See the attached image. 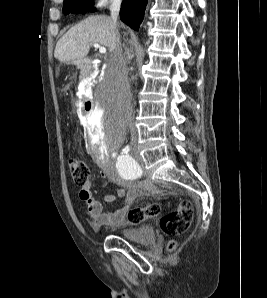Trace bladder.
<instances>
[{
	"mask_svg": "<svg viewBox=\"0 0 267 298\" xmlns=\"http://www.w3.org/2000/svg\"><path fill=\"white\" fill-rule=\"evenodd\" d=\"M118 234L128 241L139 244H151L155 241V233L151 225L122 229Z\"/></svg>",
	"mask_w": 267,
	"mask_h": 298,
	"instance_id": "obj_1",
	"label": "bladder"
}]
</instances>
